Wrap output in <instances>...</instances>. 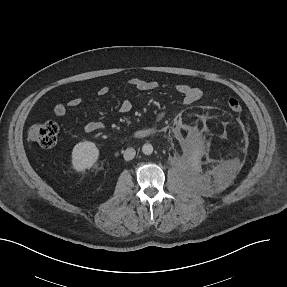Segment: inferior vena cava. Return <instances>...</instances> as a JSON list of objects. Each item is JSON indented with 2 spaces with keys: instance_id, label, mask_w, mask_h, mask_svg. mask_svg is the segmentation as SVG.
I'll use <instances>...</instances> for the list:
<instances>
[{
  "instance_id": "602c4592",
  "label": "inferior vena cava",
  "mask_w": 287,
  "mask_h": 287,
  "mask_svg": "<svg viewBox=\"0 0 287 287\" xmlns=\"http://www.w3.org/2000/svg\"><path fill=\"white\" fill-rule=\"evenodd\" d=\"M136 151L134 148H127L124 151V159L126 161L132 160L135 157Z\"/></svg>"
}]
</instances>
